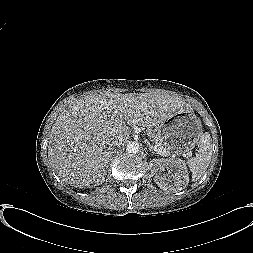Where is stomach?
Listing matches in <instances>:
<instances>
[{
  "label": "stomach",
  "instance_id": "obj_1",
  "mask_svg": "<svg viewBox=\"0 0 253 253\" xmlns=\"http://www.w3.org/2000/svg\"><path fill=\"white\" fill-rule=\"evenodd\" d=\"M163 146L176 154L194 149L203 134L201 120L192 110L175 113L157 128Z\"/></svg>",
  "mask_w": 253,
  "mask_h": 253
}]
</instances>
